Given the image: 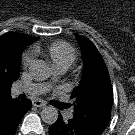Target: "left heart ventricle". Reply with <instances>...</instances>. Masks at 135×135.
Segmentation results:
<instances>
[{"instance_id":"obj_1","label":"left heart ventricle","mask_w":135,"mask_h":135,"mask_svg":"<svg viewBox=\"0 0 135 135\" xmlns=\"http://www.w3.org/2000/svg\"><path fill=\"white\" fill-rule=\"evenodd\" d=\"M54 83H55V74L52 73L47 80V85L52 86L54 85Z\"/></svg>"}]
</instances>
